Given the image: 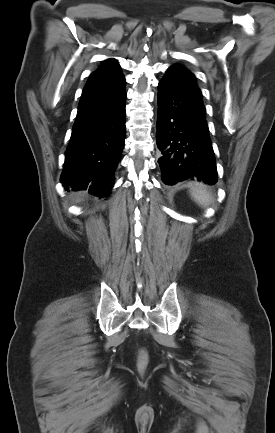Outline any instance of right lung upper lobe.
<instances>
[{
	"label": "right lung upper lobe",
	"instance_id": "right-lung-upper-lobe-1",
	"mask_svg": "<svg viewBox=\"0 0 275 433\" xmlns=\"http://www.w3.org/2000/svg\"><path fill=\"white\" fill-rule=\"evenodd\" d=\"M124 83L125 79L119 64L115 59H108L103 61L101 67L90 75L82 94L116 87Z\"/></svg>",
	"mask_w": 275,
	"mask_h": 433
}]
</instances>
